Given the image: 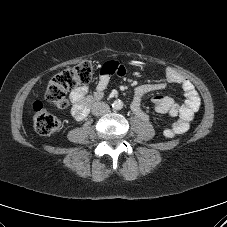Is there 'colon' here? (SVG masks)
<instances>
[{
  "mask_svg": "<svg viewBox=\"0 0 227 227\" xmlns=\"http://www.w3.org/2000/svg\"><path fill=\"white\" fill-rule=\"evenodd\" d=\"M93 72V63L82 61L55 74L48 83L45 93L46 100L57 108H65L68 104L67 92L89 83ZM33 121L35 130L41 135H52L60 127V120L40 100L33 103Z\"/></svg>",
  "mask_w": 227,
  "mask_h": 227,
  "instance_id": "1",
  "label": "colon"
}]
</instances>
